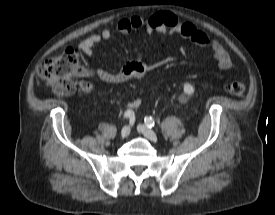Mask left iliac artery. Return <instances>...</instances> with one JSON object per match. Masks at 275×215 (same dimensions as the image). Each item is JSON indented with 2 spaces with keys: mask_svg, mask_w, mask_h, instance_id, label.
I'll use <instances>...</instances> for the list:
<instances>
[{
  "mask_svg": "<svg viewBox=\"0 0 275 215\" xmlns=\"http://www.w3.org/2000/svg\"><path fill=\"white\" fill-rule=\"evenodd\" d=\"M144 122L147 125V127L152 128L155 125V121L152 117L146 116L144 118Z\"/></svg>",
  "mask_w": 275,
  "mask_h": 215,
  "instance_id": "obj_1",
  "label": "left iliac artery"
}]
</instances>
